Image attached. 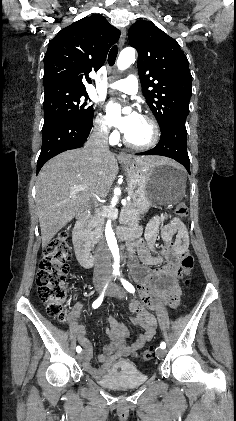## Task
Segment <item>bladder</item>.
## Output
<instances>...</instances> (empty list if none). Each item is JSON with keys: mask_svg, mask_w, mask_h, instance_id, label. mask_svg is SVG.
I'll return each mask as SVG.
<instances>
[{"mask_svg": "<svg viewBox=\"0 0 236 421\" xmlns=\"http://www.w3.org/2000/svg\"><path fill=\"white\" fill-rule=\"evenodd\" d=\"M127 369L110 372L105 379V385L116 390L129 389L134 386H140L147 379V375H141L137 370L133 369L132 361H125Z\"/></svg>", "mask_w": 236, "mask_h": 421, "instance_id": "bladder-1", "label": "bladder"}]
</instances>
